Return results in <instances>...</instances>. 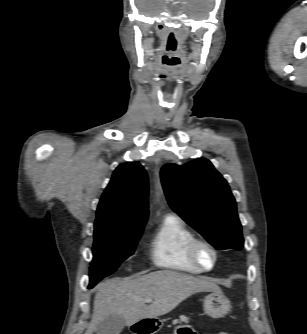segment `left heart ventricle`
Wrapping results in <instances>:
<instances>
[{
    "instance_id": "left-heart-ventricle-1",
    "label": "left heart ventricle",
    "mask_w": 307,
    "mask_h": 334,
    "mask_svg": "<svg viewBox=\"0 0 307 334\" xmlns=\"http://www.w3.org/2000/svg\"><path fill=\"white\" fill-rule=\"evenodd\" d=\"M198 255L202 264L206 267H210L213 263V255L211 251L205 247H200Z\"/></svg>"
}]
</instances>
